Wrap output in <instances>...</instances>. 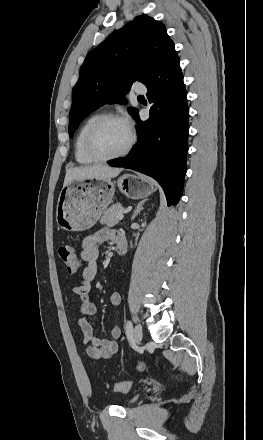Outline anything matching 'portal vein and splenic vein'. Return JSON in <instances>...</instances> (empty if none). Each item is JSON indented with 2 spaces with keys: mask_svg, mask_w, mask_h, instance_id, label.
Listing matches in <instances>:
<instances>
[{
  "mask_svg": "<svg viewBox=\"0 0 263 440\" xmlns=\"http://www.w3.org/2000/svg\"><path fill=\"white\" fill-rule=\"evenodd\" d=\"M117 218H118L119 220H122V219L124 218L123 211H121V212H119V213L117 214Z\"/></svg>",
  "mask_w": 263,
  "mask_h": 440,
  "instance_id": "18ae733b",
  "label": "portal vein and splenic vein"
}]
</instances>
